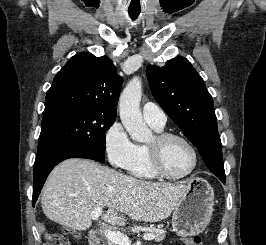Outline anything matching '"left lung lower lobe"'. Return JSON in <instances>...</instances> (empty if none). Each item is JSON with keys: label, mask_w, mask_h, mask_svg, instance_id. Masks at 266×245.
I'll list each match as a JSON object with an SVG mask.
<instances>
[{"label": "left lung lower lobe", "mask_w": 266, "mask_h": 245, "mask_svg": "<svg viewBox=\"0 0 266 245\" xmlns=\"http://www.w3.org/2000/svg\"><path fill=\"white\" fill-rule=\"evenodd\" d=\"M225 184V177L219 178Z\"/></svg>", "instance_id": "obj_1"}]
</instances>
